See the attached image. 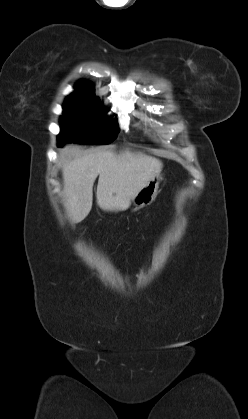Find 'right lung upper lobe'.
I'll use <instances>...</instances> for the list:
<instances>
[{
    "mask_svg": "<svg viewBox=\"0 0 248 419\" xmlns=\"http://www.w3.org/2000/svg\"><path fill=\"white\" fill-rule=\"evenodd\" d=\"M75 88L76 90L71 95H69L70 97H79V98H84V99L99 102L98 98L94 94L93 86L91 85L90 82L85 81V80H80L76 84Z\"/></svg>",
    "mask_w": 248,
    "mask_h": 419,
    "instance_id": "1",
    "label": "right lung upper lobe"
}]
</instances>
